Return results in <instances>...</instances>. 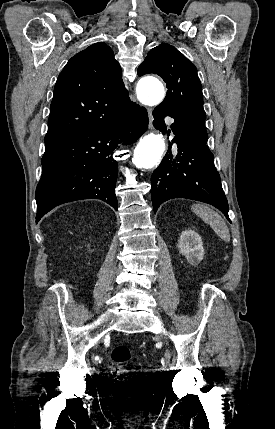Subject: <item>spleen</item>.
I'll return each instance as SVG.
<instances>
[{"instance_id":"obj_1","label":"spleen","mask_w":275,"mask_h":429,"mask_svg":"<svg viewBox=\"0 0 275 429\" xmlns=\"http://www.w3.org/2000/svg\"><path fill=\"white\" fill-rule=\"evenodd\" d=\"M191 209L205 223L209 224L221 239L224 241H230L228 226L217 212L202 204H194L192 205Z\"/></svg>"}]
</instances>
